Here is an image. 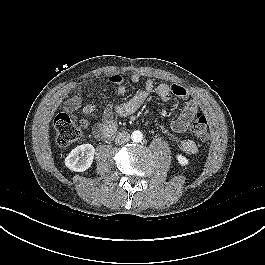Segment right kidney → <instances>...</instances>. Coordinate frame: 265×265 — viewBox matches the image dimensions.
I'll list each match as a JSON object with an SVG mask.
<instances>
[{"label": "right kidney", "instance_id": "obj_1", "mask_svg": "<svg viewBox=\"0 0 265 265\" xmlns=\"http://www.w3.org/2000/svg\"><path fill=\"white\" fill-rule=\"evenodd\" d=\"M95 148L91 144H82L75 147L65 158V165L75 172H83L92 165Z\"/></svg>", "mask_w": 265, "mask_h": 265}]
</instances>
